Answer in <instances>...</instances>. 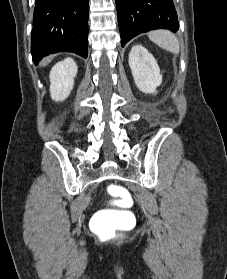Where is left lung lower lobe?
Here are the masks:
<instances>
[{"instance_id": "obj_1", "label": "left lung lower lobe", "mask_w": 227, "mask_h": 279, "mask_svg": "<svg viewBox=\"0 0 227 279\" xmlns=\"http://www.w3.org/2000/svg\"><path fill=\"white\" fill-rule=\"evenodd\" d=\"M122 47L138 34L155 29H179L172 0H116Z\"/></svg>"}]
</instances>
